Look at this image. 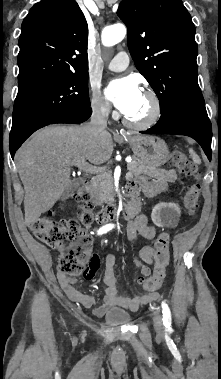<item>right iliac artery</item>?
Instances as JSON below:
<instances>
[{"label":"right iliac artery","mask_w":221,"mask_h":379,"mask_svg":"<svg viewBox=\"0 0 221 379\" xmlns=\"http://www.w3.org/2000/svg\"><path fill=\"white\" fill-rule=\"evenodd\" d=\"M114 225L113 224H107L103 227H101L99 230H98V235H102L104 233H107L108 231H110L111 229H113Z\"/></svg>","instance_id":"1"}]
</instances>
